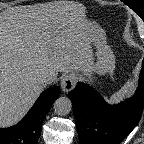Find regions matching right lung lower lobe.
<instances>
[{
	"instance_id": "1",
	"label": "right lung lower lobe",
	"mask_w": 144,
	"mask_h": 144,
	"mask_svg": "<svg viewBox=\"0 0 144 144\" xmlns=\"http://www.w3.org/2000/svg\"><path fill=\"white\" fill-rule=\"evenodd\" d=\"M59 95L57 86L45 90L17 125L0 128V144H37L43 120Z\"/></svg>"
}]
</instances>
